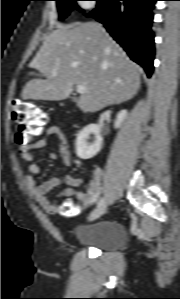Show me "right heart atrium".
<instances>
[{
	"mask_svg": "<svg viewBox=\"0 0 180 299\" xmlns=\"http://www.w3.org/2000/svg\"><path fill=\"white\" fill-rule=\"evenodd\" d=\"M80 6L83 8V9H92L93 6H94V2H92V0H81L80 1Z\"/></svg>",
	"mask_w": 180,
	"mask_h": 299,
	"instance_id": "d8ad5b80",
	"label": "right heart atrium"
}]
</instances>
